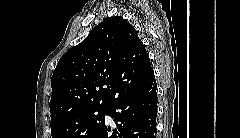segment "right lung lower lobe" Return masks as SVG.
<instances>
[{
    "label": "right lung lower lobe",
    "instance_id": "obj_1",
    "mask_svg": "<svg viewBox=\"0 0 240 138\" xmlns=\"http://www.w3.org/2000/svg\"><path fill=\"white\" fill-rule=\"evenodd\" d=\"M156 90L157 84L153 74L138 87L117 97L108 106L107 111L117 129H111L104 123L93 138H155Z\"/></svg>",
    "mask_w": 240,
    "mask_h": 138
}]
</instances>
